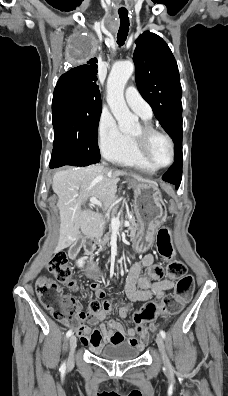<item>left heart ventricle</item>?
<instances>
[{"instance_id":"b2bd125f","label":"left heart ventricle","mask_w":228,"mask_h":396,"mask_svg":"<svg viewBox=\"0 0 228 396\" xmlns=\"http://www.w3.org/2000/svg\"><path fill=\"white\" fill-rule=\"evenodd\" d=\"M141 126L132 132V136H140ZM148 153L151 161L155 165H164L170 160L171 151L169 144L165 138L154 135L149 141Z\"/></svg>"}]
</instances>
